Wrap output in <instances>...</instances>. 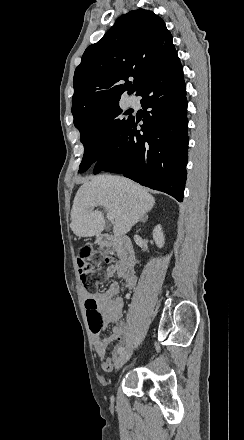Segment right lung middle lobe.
Listing matches in <instances>:
<instances>
[{"mask_svg": "<svg viewBox=\"0 0 244 440\" xmlns=\"http://www.w3.org/2000/svg\"><path fill=\"white\" fill-rule=\"evenodd\" d=\"M119 100H105L90 107L72 110L74 125L80 131L84 145L79 173L85 172L114 145L131 120V116L127 119L119 117L122 114Z\"/></svg>", "mask_w": 244, "mask_h": 440, "instance_id": "obj_1", "label": "right lung middle lobe"}]
</instances>
